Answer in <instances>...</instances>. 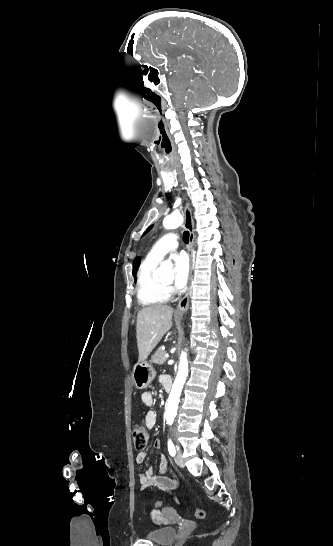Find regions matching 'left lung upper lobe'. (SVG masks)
<instances>
[{
	"instance_id": "5c2ea615",
	"label": "left lung upper lobe",
	"mask_w": 333,
	"mask_h": 546,
	"mask_svg": "<svg viewBox=\"0 0 333 546\" xmlns=\"http://www.w3.org/2000/svg\"><path fill=\"white\" fill-rule=\"evenodd\" d=\"M152 228V226H150L147 230H150Z\"/></svg>"
}]
</instances>
